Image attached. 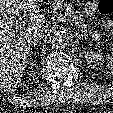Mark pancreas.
I'll return each instance as SVG.
<instances>
[{"instance_id":"1","label":"pancreas","mask_w":113,"mask_h":113,"mask_svg":"<svg viewBox=\"0 0 113 113\" xmlns=\"http://www.w3.org/2000/svg\"><path fill=\"white\" fill-rule=\"evenodd\" d=\"M68 4L62 0H55L53 4L50 5V9L55 10L56 8H61V7H67ZM68 16L72 18V21L75 23V25L81 29L83 32L87 33V26L83 23V18L80 15L79 11L76 10L72 5L69 6L68 9ZM89 35L95 40L96 42L100 43L101 36L99 33L96 31L90 32Z\"/></svg>"}]
</instances>
